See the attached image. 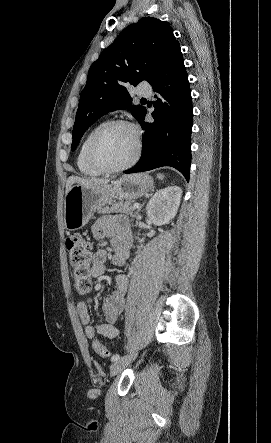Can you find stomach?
<instances>
[{"label":"stomach","instance_id":"stomach-1","mask_svg":"<svg viewBox=\"0 0 271 443\" xmlns=\"http://www.w3.org/2000/svg\"><path fill=\"white\" fill-rule=\"evenodd\" d=\"M153 180L147 174L122 176L113 186H72L64 200V225L68 231L80 229L96 210L111 204L115 198L136 200L153 190Z\"/></svg>","mask_w":271,"mask_h":443}]
</instances>
